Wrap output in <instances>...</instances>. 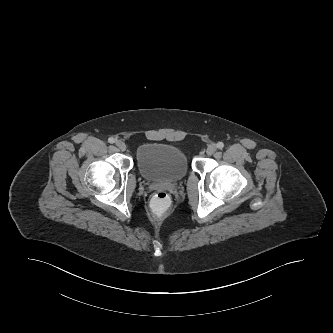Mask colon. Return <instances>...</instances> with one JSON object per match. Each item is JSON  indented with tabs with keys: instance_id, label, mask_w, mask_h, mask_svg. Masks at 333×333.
<instances>
[{
	"instance_id": "obj_1",
	"label": "colon",
	"mask_w": 333,
	"mask_h": 333,
	"mask_svg": "<svg viewBox=\"0 0 333 333\" xmlns=\"http://www.w3.org/2000/svg\"><path fill=\"white\" fill-rule=\"evenodd\" d=\"M170 203L171 198L166 191H157L149 202L151 213L158 218L165 217L168 214Z\"/></svg>"
}]
</instances>
